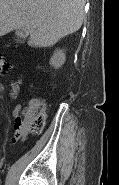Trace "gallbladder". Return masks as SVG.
<instances>
[{"mask_svg":"<svg viewBox=\"0 0 119 185\" xmlns=\"http://www.w3.org/2000/svg\"><path fill=\"white\" fill-rule=\"evenodd\" d=\"M16 35L19 37L21 42H24L28 37V33L24 29H17Z\"/></svg>","mask_w":119,"mask_h":185,"instance_id":"1","label":"gallbladder"}]
</instances>
